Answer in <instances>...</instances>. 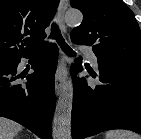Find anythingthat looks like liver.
<instances>
[{
	"instance_id": "6515ba94",
	"label": "liver",
	"mask_w": 141,
	"mask_h": 139,
	"mask_svg": "<svg viewBox=\"0 0 141 139\" xmlns=\"http://www.w3.org/2000/svg\"><path fill=\"white\" fill-rule=\"evenodd\" d=\"M23 127L4 117H0V139H14L15 135L20 132Z\"/></svg>"
}]
</instances>
